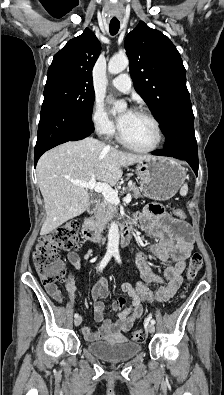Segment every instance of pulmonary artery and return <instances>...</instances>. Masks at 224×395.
<instances>
[{
  "mask_svg": "<svg viewBox=\"0 0 224 395\" xmlns=\"http://www.w3.org/2000/svg\"><path fill=\"white\" fill-rule=\"evenodd\" d=\"M112 85L123 93H129L132 88L131 78L128 74H120L111 81Z\"/></svg>",
  "mask_w": 224,
  "mask_h": 395,
  "instance_id": "e3ab8cb5",
  "label": "pulmonary artery"
}]
</instances>
